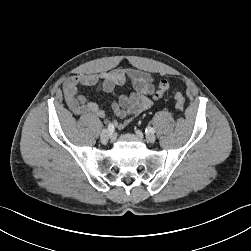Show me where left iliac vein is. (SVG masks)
Here are the masks:
<instances>
[{"label": "left iliac vein", "instance_id": "4c4485c4", "mask_svg": "<svg viewBox=\"0 0 251 251\" xmlns=\"http://www.w3.org/2000/svg\"><path fill=\"white\" fill-rule=\"evenodd\" d=\"M137 135L140 136V132H137ZM146 140H147L148 142H150V143H154L155 140H156V137H155L154 134L148 133V134H146Z\"/></svg>", "mask_w": 251, "mask_h": 251}]
</instances>
